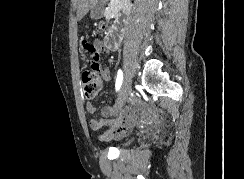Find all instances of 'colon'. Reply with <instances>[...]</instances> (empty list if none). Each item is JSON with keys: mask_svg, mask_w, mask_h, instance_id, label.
Listing matches in <instances>:
<instances>
[{"mask_svg": "<svg viewBox=\"0 0 244 179\" xmlns=\"http://www.w3.org/2000/svg\"><path fill=\"white\" fill-rule=\"evenodd\" d=\"M104 28V26H101ZM103 74L94 60L83 63L81 76L82 93L88 99H94L100 92Z\"/></svg>", "mask_w": 244, "mask_h": 179, "instance_id": "colon-1", "label": "colon"}]
</instances>
